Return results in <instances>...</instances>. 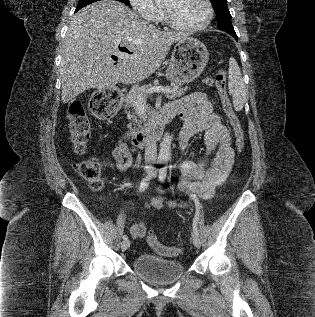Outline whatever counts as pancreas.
<instances>
[{"label": "pancreas", "mask_w": 315, "mask_h": 317, "mask_svg": "<svg viewBox=\"0 0 315 317\" xmlns=\"http://www.w3.org/2000/svg\"><path fill=\"white\" fill-rule=\"evenodd\" d=\"M203 83L208 84L209 86H212L213 84V79L211 78H206L203 80ZM156 86L153 85H144V86H134L131 91L126 95V108L132 107L135 110V113L133 115L128 113V118L131 119L133 117L135 122H138L137 117H139L138 112H137V105L140 102L139 98H142V101L145 102L146 98L148 96V91L151 88H154ZM188 90V86L181 87L180 84L174 83L171 87V91L166 94V97L168 99H173L176 97H181L184 95ZM149 112V109H147ZM129 127H132V124H129Z\"/></svg>", "instance_id": "1"}]
</instances>
